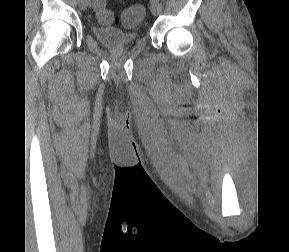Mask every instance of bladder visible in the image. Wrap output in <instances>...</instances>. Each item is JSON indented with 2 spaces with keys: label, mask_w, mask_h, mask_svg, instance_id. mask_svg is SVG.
<instances>
[{
  "label": "bladder",
  "mask_w": 289,
  "mask_h": 252,
  "mask_svg": "<svg viewBox=\"0 0 289 252\" xmlns=\"http://www.w3.org/2000/svg\"><path fill=\"white\" fill-rule=\"evenodd\" d=\"M94 36L108 47H123L135 43L139 34L137 31H122L113 27L93 26Z\"/></svg>",
  "instance_id": "obj_1"
}]
</instances>
